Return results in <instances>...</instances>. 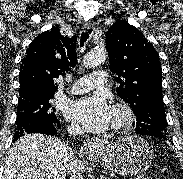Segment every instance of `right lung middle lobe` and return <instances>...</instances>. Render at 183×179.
<instances>
[{"mask_svg": "<svg viewBox=\"0 0 183 179\" xmlns=\"http://www.w3.org/2000/svg\"><path fill=\"white\" fill-rule=\"evenodd\" d=\"M53 97L51 94L19 98L14 135L30 127L56 123L55 108L49 103Z\"/></svg>", "mask_w": 183, "mask_h": 179, "instance_id": "1", "label": "right lung middle lobe"}]
</instances>
